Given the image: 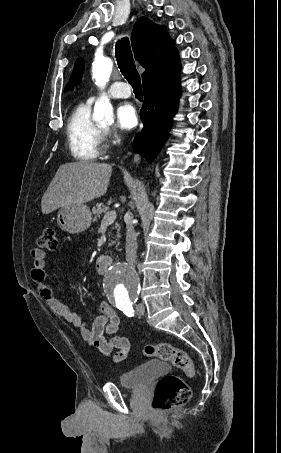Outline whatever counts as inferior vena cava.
Here are the masks:
<instances>
[{
    "mask_svg": "<svg viewBox=\"0 0 281 453\" xmlns=\"http://www.w3.org/2000/svg\"><path fill=\"white\" fill-rule=\"evenodd\" d=\"M126 229V261H128L129 265L135 267L137 261V235L133 227L132 214H127Z\"/></svg>",
    "mask_w": 281,
    "mask_h": 453,
    "instance_id": "602c4592",
    "label": "inferior vena cava"
}]
</instances>
